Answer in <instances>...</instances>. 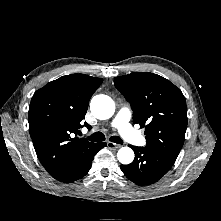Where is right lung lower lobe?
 <instances>
[{
    "instance_id": "98d812e1",
    "label": "right lung lower lobe",
    "mask_w": 221,
    "mask_h": 221,
    "mask_svg": "<svg viewBox=\"0 0 221 221\" xmlns=\"http://www.w3.org/2000/svg\"><path fill=\"white\" fill-rule=\"evenodd\" d=\"M104 146H107L106 143L98 144L95 143L82 157L78 160L63 166L58 169L54 173L50 174L56 180L70 183L82 178L84 175L88 173L91 168L92 161L94 156L97 154L99 150H101Z\"/></svg>"
}]
</instances>
